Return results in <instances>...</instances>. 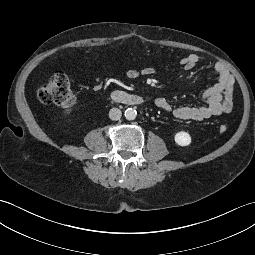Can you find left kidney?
<instances>
[{
    "label": "left kidney",
    "instance_id": "5707ae66",
    "mask_svg": "<svg viewBox=\"0 0 255 255\" xmlns=\"http://www.w3.org/2000/svg\"><path fill=\"white\" fill-rule=\"evenodd\" d=\"M174 140L180 146H188L191 143V136L188 132L180 131L175 134Z\"/></svg>",
    "mask_w": 255,
    "mask_h": 255
}]
</instances>
